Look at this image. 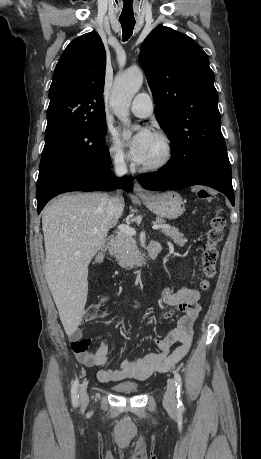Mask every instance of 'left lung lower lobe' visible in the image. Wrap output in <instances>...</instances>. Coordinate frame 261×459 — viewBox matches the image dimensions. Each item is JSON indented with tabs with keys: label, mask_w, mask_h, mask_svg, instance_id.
Returning a JSON list of instances; mask_svg holds the SVG:
<instances>
[{
	"label": "left lung lower lobe",
	"mask_w": 261,
	"mask_h": 459,
	"mask_svg": "<svg viewBox=\"0 0 261 459\" xmlns=\"http://www.w3.org/2000/svg\"><path fill=\"white\" fill-rule=\"evenodd\" d=\"M138 182L147 190L205 185L224 193L234 206L231 166L226 149L200 155L184 168L168 162L154 173L139 175Z\"/></svg>",
	"instance_id": "obj_1"
}]
</instances>
